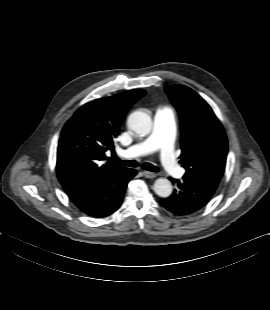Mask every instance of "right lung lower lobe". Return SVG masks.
Wrapping results in <instances>:
<instances>
[{
    "label": "right lung lower lobe",
    "mask_w": 270,
    "mask_h": 310,
    "mask_svg": "<svg viewBox=\"0 0 270 310\" xmlns=\"http://www.w3.org/2000/svg\"><path fill=\"white\" fill-rule=\"evenodd\" d=\"M136 174L134 169L120 167L97 178L66 184L63 188L79 210L102 218L120 207L127 184Z\"/></svg>",
    "instance_id": "right-lung-lower-lobe-1"
}]
</instances>
